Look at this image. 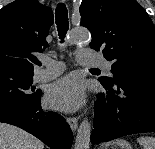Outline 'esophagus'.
<instances>
[{
	"label": "esophagus",
	"instance_id": "esophagus-1",
	"mask_svg": "<svg viewBox=\"0 0 155 149\" xmlns=\"http://www.w3.org/2000/svg\"><path fill=\"white\" fill-rule=\"evenodd\" d=\"M65 1V0H63ZM67 122L70 125V128L72 131H76L77 127H78V120L76 117H68L67 118Z\"/></svg>",
	"mask_w": 155,
	"mask_h": 149
}]
</instances>
